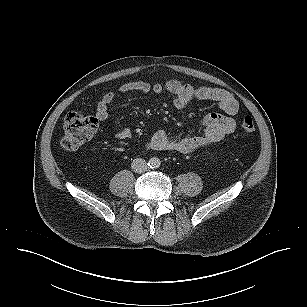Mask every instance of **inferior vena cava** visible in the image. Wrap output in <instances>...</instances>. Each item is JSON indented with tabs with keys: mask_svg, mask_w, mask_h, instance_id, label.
Returning <instances> with one entry per match:
<instances>
[{
	"mask_svg": "<svg viewBox=\"0 0 307 307\" xmlns=\"http://www.w3.org/2000/svg\"><path fill=\"white\" fill-rule=\"evenodd\" d=\"M132 170L136 173H143L147 170V162L142 158H136L132 162Z\"/></svg>",
	"mask_w": 307,
	"mask_h": 307,
	"instance_id": "602c4592",
	"label": "inferior vena cava"
}]
</instances>
